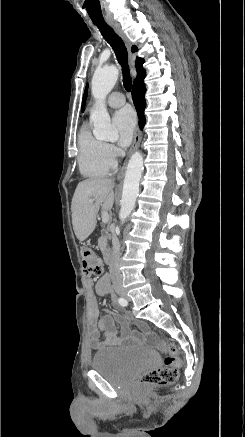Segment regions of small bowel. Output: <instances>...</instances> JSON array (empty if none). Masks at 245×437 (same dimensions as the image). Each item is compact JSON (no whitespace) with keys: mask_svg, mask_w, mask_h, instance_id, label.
Returning a JSON list of instances; mask_svg holds the SVG:
<instances>
[{"mask_svg":"<svg viewBox=\"0 0 245 437\" xmlns=\"http://www.w3.org/2000/svg\"><path fill=\"white\" fill-rule=\"evenodd\" d=\"M94 281L86 279L85 285L90 288ZM97 294L106 295L110 292V282L103 276L95 285ZM130 315L121 314L117 311L105 310L100 314L97 307H92L89 313V330L91 346L94 350L100 351L109 347H120L134 345L143 341L152 342L151 334L142 327L143 334L131 330L129 326ZM119 326V328L117 327ZM101 334L104 339H101Z\"/></svg>","mask_w":245,"mask_h":437,"instance_id":"c3829d8e","label":"small bowel"}]
</instances>
